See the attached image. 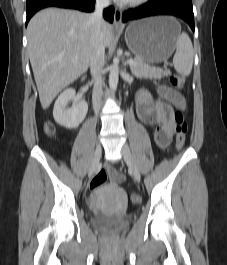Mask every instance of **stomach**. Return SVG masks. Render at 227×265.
<instances>
[{
  "label": "stomach",
  "mask_w": 227,
  "mask_h": 265,
  "mask_svg": "<svg viewBox=\"0 0 227 265\" xmlns=\"http://www.w3.org/2000/svg\"><path fill=\"white\" fill-rule=\"evenodd\" d=\"M180 24L170 16L133 21L125 31L128 48L136 58L151 64L167 60L176 47Z\"/></svg>",
  "instance_id": "obj_1"
}]
</instances>
